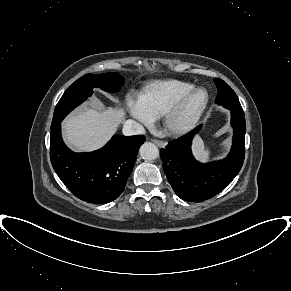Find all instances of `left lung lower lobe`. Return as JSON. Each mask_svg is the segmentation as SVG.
Masks as SVG:
<instances>
[{"label":"left lung lower lobe","mask_w":291,"mask_h":291,"mask_svg":"<svg viewBox=\"0 0 291 291\" xmlns=\"http://www.w3.org/2000/svg\"><path fill=\"white\" fill-rule=\"evenodd\" d=\"M231 125L234 129L233 145L224 160L206 164L195 160L191 143L201 126L161 149L163 170L178 197L186 201H204L226 188L239 173L245 154L246 124L243 110H231Z\"/></svg>","instance_id":"0a47b994"}]
</instances>
